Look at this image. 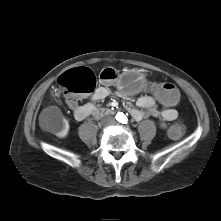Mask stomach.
I'll return each instance as SVG.
<instances>
[{"mask_svg": "<svg viewBox=\"0 0 221 221\" xmlns=\"http://www.w3.org/2000/svg\"><path fill=\"white\" fill-rule=\"evenodd\" d=\"M145 82V76L142 72L130 70L121 75L117 86L121 93L133 95L143 88Z\"/></svg>", "mask_w": 221, "mask_h": 221, "instance_id": "obj_1", "label": "stomach"}]
</instances>
